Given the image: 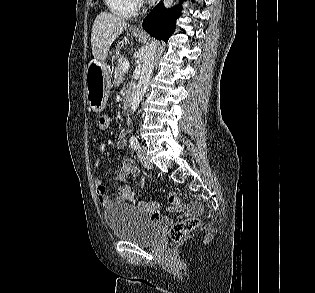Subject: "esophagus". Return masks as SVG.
Listing matches in <instances>:
<instances>
[{
  "instance_id": "1",
  "label": "esophagus",
  "mask_w": 315,
  "mask_h": 293,
  "mask_svg": "<svg viewBox=\"0 0 315 293\" xmlns=\"http://www.w3.org/2000/svg\"><path fill=\"white\" fill-rule=\"evenodd\" d=\"M141 24H142V21L137 26H135L133 30L135 32L142 33L143 32V28H142Z\"/></svg>"
}]
</instances>
